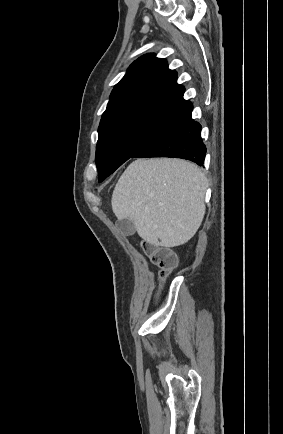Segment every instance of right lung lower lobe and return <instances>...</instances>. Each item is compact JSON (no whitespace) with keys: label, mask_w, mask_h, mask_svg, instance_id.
<instances>
[{"label":"right lung lower lobe","mask_w":283,"mask_h":434,"mask_svg":"<svg viewBox=\"0 0 283 434\" xmlns=\"http://www.w3.org/2000/svg\"><path fill=\"white\" fill-rule=\"evenodd\" d=\"M191 112L174 120L131 158H183L202 166L206 147L201 138V125L192 119Z\"/></svg>","instance_id":"1"}]
</instances>
